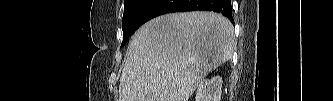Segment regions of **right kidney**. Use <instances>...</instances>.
<instances>
[{"label": "right kidney", "instance_id": "ca27d5eb", "mask_svg": "<svg viewBox=\"0 0 333 101\" xmlns=\"http://www.w3.org/2000/svg\"><path fill=\"white\" fill-rule=\"evenodd\" d=\"M222 83L220 76H215L211 80H202L196 91V101H220Z\"/></svg>", "mask_w": 333, "mask_h": 101}]
</instances>
